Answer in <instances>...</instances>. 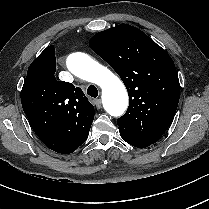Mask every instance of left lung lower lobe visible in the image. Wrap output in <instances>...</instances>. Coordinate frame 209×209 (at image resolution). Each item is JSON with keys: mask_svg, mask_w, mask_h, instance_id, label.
<instances>
[{"mask_svg": "<svg viewBox=\"0 0 209 209\" xmlns=\"http://www.w3.org/2000/svg\"><path fill=\"white\" fill-rule=\"evenodd\" d=\"M121 137L130 145L135 146L137 148H145L150 144L144 143L142 141L137 140L136 138L132 137L131 135L125 134L120 132Z\"/></svg>", "mask_w": 209, "mask_h": 209, "instance_id": "0a47b994", "label": "left lung lower lobe"}]
</instances>
